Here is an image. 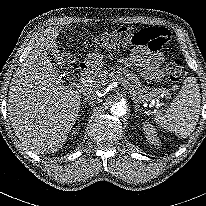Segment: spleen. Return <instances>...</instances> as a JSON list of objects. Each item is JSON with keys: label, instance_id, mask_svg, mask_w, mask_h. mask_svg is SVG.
<instances>
[{"label": "spleen", "instance_id": "1", "mask_svg": "<svg viewBox=\"0 0 206 206\" xmlns=\"http://www.w3.org/2000/svg\"><path fill=\"white\" fill-rule=\"evenodd\" d=\"M201 96L195 77H187L170 107L155 114L154 121L161 128L186 138L199 120Z\"/></svg>", "mask_w": 206, "mask_h": 206}]
</instances>
